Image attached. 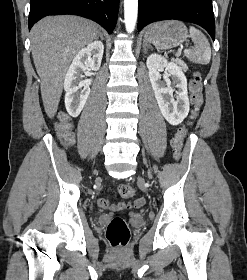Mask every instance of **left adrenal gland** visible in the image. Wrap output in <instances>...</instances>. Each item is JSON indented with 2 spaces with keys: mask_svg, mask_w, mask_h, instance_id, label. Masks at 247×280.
I'll list each match as a JSON object with an SVG mask.
<instances>
[{
  "mask_svg": "<svg viewBox=\"0 0 247 280\" xmlns=\"http://www.w3.org/2000/svg\"><path fill=\"white\" fill-rule=\"evenodd\" d=\"M148 48H152L145 40L143 41V51L146 53Z\"/></svg>",
  "mask_w": 247,
  "mask_h": 280,
  "instance_id": "1",
  "label": "left adrenal gland"
}]
</instances>
